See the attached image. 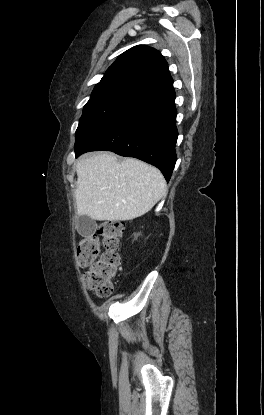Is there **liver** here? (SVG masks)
<instances>
[{"label": "liver", "instance_id": "6515ba94", "mask_svg": "<svg viewBox=\"0 0 264 415\" xmlns=\"http://www.w3.org/2000/svg\"><path fill=\"white\" fill-rule=\"evenodd\" d=\"M76 172L77 213L93 220L135 219L166 194L162 173L135 158L119 162L107 152L83 156L77 161Z\"/></svg>", "mask_w": 264, "mask_h": 415}]
</instances>
